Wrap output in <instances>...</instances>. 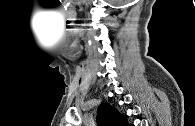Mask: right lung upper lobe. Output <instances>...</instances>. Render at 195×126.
<instances>
[{"label": "right lung upper lobe", "mask_w": 195, "mask_h": 126, "mask_svg": "<svg viewBox=\"0 0 195 126\" xmlns=\"http://www.w3.org/2000/svg\"><path fill=\"white\" fill-rule=\"evenodd\" d=\"M98 126H130L127 116L120 114L113 106L102 103L97 112Z\"/></svg>", "instance_id": "obj_1"}]
</instances>
